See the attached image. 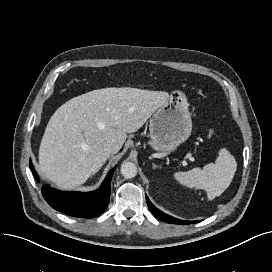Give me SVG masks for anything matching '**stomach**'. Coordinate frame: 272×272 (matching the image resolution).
Returning <instances> with one entry per match:
<instances>
[{
  "mask_svg": "<svg viewBox=\"0 0 272 272\" xmlns=\"http://www.w3.org/2000/svg\"><path fill=\"white\" fill-rule=\"evenodd\" d=\"M192 131V119L186 96L174 90L153 114L149 123L152 149L170 153L186 141Z\"/></svg>",
  "mask_w": 272,
  "mask_h": 272,
  "instance_id": "0dacf381",
  "label": "stomach"
}]
</instances>
